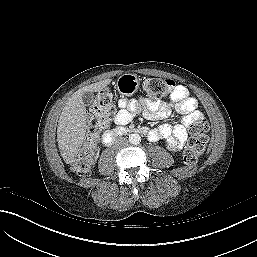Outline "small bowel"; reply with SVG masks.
Segmentation results:
<instances>
[{"label":"small bowel","mask_w":257,"mask_h":257,"mask_svg":"<svg viewBox=\"0 0 257 257\" xmlns=\"http://www.w3.org/2000/svg\"><path fill=\"white\" fill-rule=\"evenodd\" d=\"M170 99L176 111L183 115L182 121L176 125L163 124L149 133L151 140L165 138L174 147L180 149L187 140V127L203 118L197 109V101L189 95L186 87L177 85L173 88ZM119 111L115 116L118 125L128 124L136 114L142 113L150 119H163L169 116L173 107L171 103L150 101L144 97L128 100L121 98L118 101Z\"/></svg>","instance_id":"obj_1"}]
</instances>
